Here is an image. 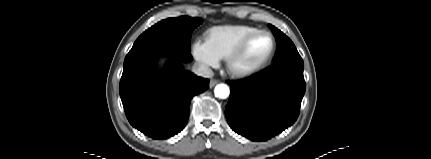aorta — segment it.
I'll return each instance as SVG.
<instances>
[{"label":"aorta","instance_id":"obj_1","mask_svg":"<svg viewBox=\"0 0 431 159\" xmlns=\"http://www.w3.org/2000/svg\"><path fill=\"white\" fill-rule=\"evenodd\" d=\"M214 94L218 98L226 99L230 94V89L226 84H218L214 89Z\"/></svg>","mask_w":431,"mask_h":159}]
</instances>
